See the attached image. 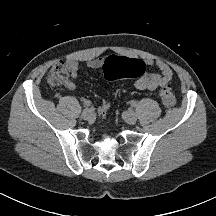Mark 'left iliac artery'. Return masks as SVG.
Here are the masks:
<instances>
[{"label":"left iliac artery","mask_w":216,"mask_h":216,"mask_svg":"<svg viewBox=\"0 0 216 216\" xmlns=\"http://www.w3.org/2000/svg\"><path fill=\"white\" fill-rule=\"evenodd\" d=\"M131 105H132L133 107H136V106H137V101H135V100L131 101Z\"/></svg>","instance_id":"obj_1"}]
</instances>
